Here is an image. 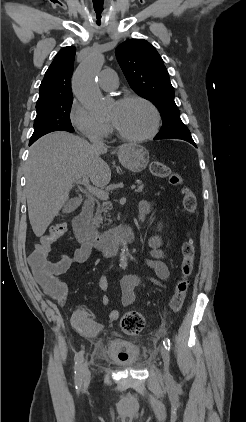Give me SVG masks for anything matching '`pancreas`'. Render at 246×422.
<instances>
[{
  "label": "pancreas",
  "instance_id": "obj_1",
  "mask_svg": "<svg viewBox=\"0 0 246 422\" xmlns=\"http://www.w3.org/2000/svg\"><path fill=\"white\" fill-rule=\"evenodd\" d=\"M137 183L139 184L138 191H142L144 188L142 181L137 180ZM110 207L111 205L109 204V202H103L102 204H98L94 216V222L100 224L103 220H107V217L109 216L108 210L110 209Z\"/></svg>",
  "mask_w": 246,
  "mask_h": 422
}]
</instances>
